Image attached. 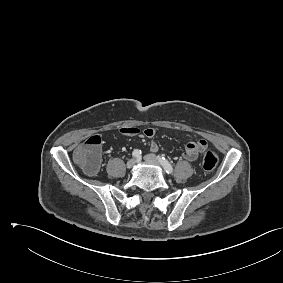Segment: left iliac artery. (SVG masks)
<instances>
[{
	"label": "left iliac artery",
	"mask_w": 283,
	"mask_h": 283,
	"mask_svg": "<svg viewBox=\"0 0 283 283\" xmlns=\"http://www.w3.org/2000/svg\"><path fill=\"white\" fill-rule=\"evenodd\" d=\"M159 161L161 163V165L163 166V168L165 169V171L167 173H172L173 172V167L171 166V164L168 162V160H166L164 157H160L159 156Z\"/></svg>",
	"instance_id": "44dca946"
}]
</instances>
